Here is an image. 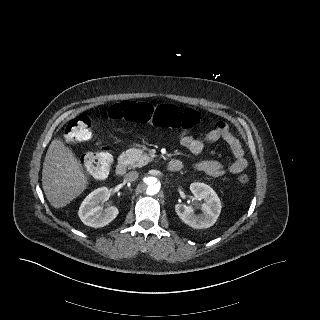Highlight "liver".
I'll list each match as a JSON object with an SVG mask.
<instances>
[{
    "mask_svg": "<svg viewBox=\"0 0 320 320\" xmlns=\"http://www.w3.org/2000/svg\"><path fill=\"white\" fill-rule=\"evenodd\" d=\"M42 186L54 208H62L87 187V178L79 162L61 140H52L42 170Z\"/></svg>",
    "mask_w": 320,
    "mask_h": 320,
    "instance_id": "1",
    "label": "liver"
}]
</instances>
